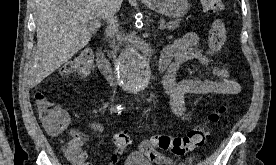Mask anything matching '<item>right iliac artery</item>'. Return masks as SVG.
Segmentation results:
<instances>
[{
    "instance_id": "obj_1",
    "label": "right iliac artery",
    "mask_w": 276,
    "mask_h": 165,
    "mask_svg": "<svg viewBox=\"0 0 276 165\" xmlns=\"http://www.w3.org/2000/svg\"><path fill=\"white\" fill-rule=\"evenodd\" d=\"M122 109H123V108L121 107V105H118V106L112 108L111 110L114 111V112L120 113Z\"/></svg>"
}]
</instances>
